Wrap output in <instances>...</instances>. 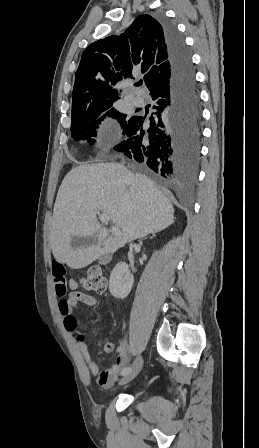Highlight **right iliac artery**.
Instances as JSON below:
<instances>
[{
    "label": "right iliac artery",
    "mask_w": 259,
    "mask_h": 448,
    "mask_svg": "<svg viewBox=\"0 0 259 448\" xmlns=\"http://www.w3.org/2000/svg\"><path fill=\"white\" fill-rule=\"evenodd\" d=\"M130 370H131V368L129 366L123 368L121 371V375L124 376V375L128 374L130 372Z\"/></svg>",
    "instance_id": "right-iliac-artery-1"
}]
</instances>
